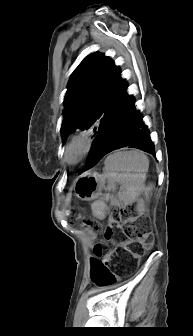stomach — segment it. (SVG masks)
I'll list each match as a JSON object with an SVG mask.
<instances>
[{
	"label": "stomach",
	"mask_w": 193,
	"mask_h": 336,
	"mask_svg": "<svg viewBox=\"0 0 193 336\" xmlns=\"http://www.w3.org/2000/svg\"><path fill=\"white\" fill-rule=\"evenodd\" d=\"M105 186V177L98 172H87L76 179L74 188L76 195L84 201L97 198Z\"/></svg>",
	"instance_id": "1"
}]
</instances>
